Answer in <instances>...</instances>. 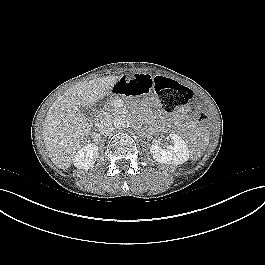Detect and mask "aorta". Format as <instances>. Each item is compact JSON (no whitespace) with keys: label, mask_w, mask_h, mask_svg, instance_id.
<instances>
[{"label":"aorta","mask_w":265,"mask_h":265,"mask_svg":"<svg viewBox=\"0 0 265 265\" xmlns=\"http://www.w3.org/2000/svg\"><path fill=\"white\" fill-rule=\"evenodd\" d=\"M113 124L117 129H124L126 126L124 119H122L121 117L114 118Z\"/></svg>","instance_id":"obj_1"}]
</instances>
